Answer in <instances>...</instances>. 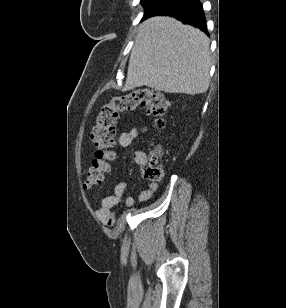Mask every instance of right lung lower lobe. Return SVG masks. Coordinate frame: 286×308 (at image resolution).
I'll return each mask as SVG.
<instances>
[{"mask_svg":"<svg viewBox=\"0 0 286 308\" xmlns=\"http://www.w3.org/2000/svg\"><path fill=\"white\" fill-rule=\"evenodd\" d=\"M156 15H169L189 25L202 29L208 34L202 4L198 0H172L163 8L143 17L142 20Z\"/></svg>","mask_w":286,"mask_h":308,"instance_id":"1","label":"right lung lower lobe"}]
</instances>
